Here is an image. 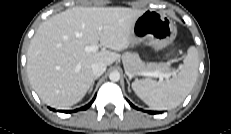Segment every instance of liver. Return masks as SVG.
<instances>
[{
    "label": "liver",
    "mask_w": 231,
    "mask_h": 134,
    "mask_svg": "<svg viewBox=\"0 0 231 134\" xmlns=\"http://www.w3.org/2000/svg\"><path fill=\"white\" fill-rule=\"evenodd\" d=\"M143 12L126 7H73L44 21L27 51L28 78L41 100L59 109L81 101L94 79L92 64L107 66L120 58L117 52L129 47L132 25ZM98 43L103 46L100 51H85Z\"/></svg>",
    "instance_id": "1"
}]
</instances>
